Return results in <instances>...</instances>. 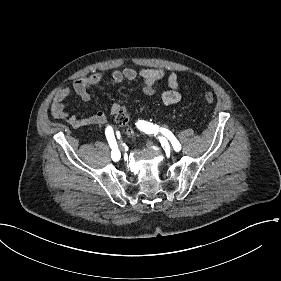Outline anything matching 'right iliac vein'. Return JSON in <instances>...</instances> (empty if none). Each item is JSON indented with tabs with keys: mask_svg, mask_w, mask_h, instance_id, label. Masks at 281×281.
<instances>
[{
	"mask_svg": "<svg viewBox=\"0 0 281 281\" xmlns=\"http://www.w3.org/2000/svg\"><path fill=\"white\" fill-rule=\"evenodd\" d=\"M119 148H120L121 151L123 150V148L121 146Z\"/></svg>",
	"mask_w": 281,
	"mask_h": 281,
	"instance_id": "1",
	"label": "right iliac vein"
}]
</instances>
